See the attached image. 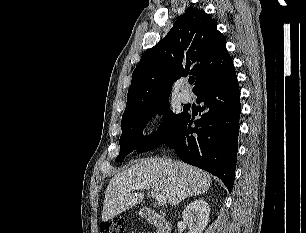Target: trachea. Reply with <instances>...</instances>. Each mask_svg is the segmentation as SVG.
<instances>
[{
    "instance_id": "1",
    "label": "trachea",
    "mask_w": 306,
    "mask_h": 233,
    "mask_svg": "<svg viewBox=\"0 0 306 233\" xmlns=\"http://www.w3.org/2000/svg\"><path fill=\"white\" fill-rule=\"evenodd\" d=\"M194 81H195V79H194V78H189V83H190V84H193V83H194Z\"/></svg>"
}]
</instances>
